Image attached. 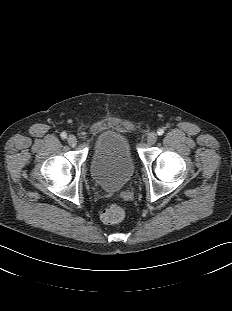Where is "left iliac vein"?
Masks as SVG:
<instances>
[{"mask_svg":"<svg viewBox=\"0 0 232 311\" xmlns=\"http://www.w3.org/2000/svg\"><path fill=\"white\" fill-rule=\"evenodd\" d=\"M157 141V134L155 132H151L147 136V143L149 145H153Z\"/></svg>","mask_w":232,"mask_h":311,"instance_id":"obj_1","label":"left iliac vein"}]
</instances>
